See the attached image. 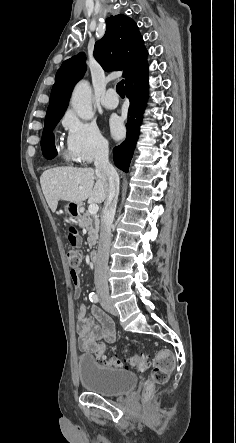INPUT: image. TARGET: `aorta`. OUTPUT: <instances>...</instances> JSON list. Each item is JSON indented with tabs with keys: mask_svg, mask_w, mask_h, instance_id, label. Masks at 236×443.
<instances>
[{
	"mask_svg": "<svg viewBox=\"0 0 236 443\" xmlns=\"http://www.w3.org/2000/svg\"><path fill=\"white\" fill-rule=\"evenodd\" d=\"M91 97L92 91L87 81H81L75 86L71 97V105L76 114L83 120H91L94 117Z\"/></svg>",
	"mask_w": 236,
	"mask_h": 443,
	"instance_id": "aorta-1",
	"label": "aorta"
}]
</instances>
